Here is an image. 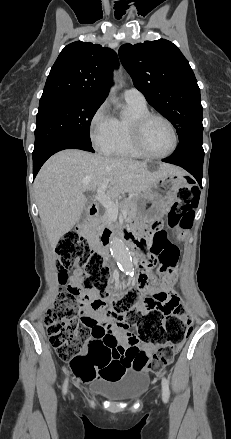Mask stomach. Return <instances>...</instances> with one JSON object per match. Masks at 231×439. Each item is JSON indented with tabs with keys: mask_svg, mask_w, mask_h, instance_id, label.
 I'll list each match as a JSON object with an SVG mask.
<instances>
[{
	"mask_svg": "<svg viewBox=\"0 0 231 439\" xmlns=\"http://www.w3.org/2000/svg\"><path fill=\"white\" fill-rule=\"evenodd\" d=\"M189 182L185 173L160 178L149 190L134 196L137 198L138 212L151 220L160 219L177 201L179 190L189 187Z\"/></svg>",
	"mask_w": 231,
	"mask_h": 439,
	"instance_id": "0dacf381",
	"label": "stomach"
}]
</instances>
